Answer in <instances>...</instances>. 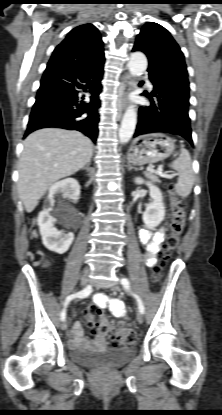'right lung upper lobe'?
<instances>
[{
  "label": "right lung upper lobe",
  "mask_w": 222,
  "mask_h": 415,
  "mask_svg": "<svg viewBox=\"0 0 222 415\" xmlns=\"http://www.w3.org/2000/svg\"><path fill=\"white\" fill-rule=\"evenodd\" d=\"M103 42L95 26L84 24L70 31L55 48L48 64L88 68L104 62Z\"/></svg>",
  "instance_id": "right-lung-upper-lobe-1"
}]
</instances>
